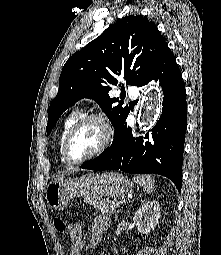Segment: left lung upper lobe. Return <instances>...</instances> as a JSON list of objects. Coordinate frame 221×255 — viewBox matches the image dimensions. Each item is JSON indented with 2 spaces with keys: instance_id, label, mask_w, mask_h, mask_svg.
<instances>
[{
  "instance_id": "5c2ea615",
  "label": "left lung upper lobe",
  "mask_w": 221,
  "mask_h": 255,
  "mask_svg": "<svg viewBox=\"0 0 221 255\" xmlns=\"http://www.w3.org/2000/svg\"><path fill=\"white\" fill-rule=\"evenodd\" d=\"M166 46L156 25L142 15L126 16L110 25L65 63L58 94L48 110L47 135L60 115L85 97L95 100L116 128L129 108L121 102L113 105L118 100L109 97L111 86H117V77L122 76L126 84L141 87Z\"/></svg>"
}]
</instances>
